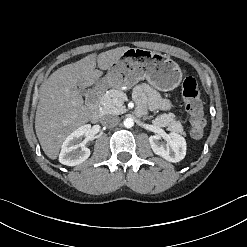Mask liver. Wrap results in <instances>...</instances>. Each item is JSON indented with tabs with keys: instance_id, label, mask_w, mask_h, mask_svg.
I'll use <instances>...</instances> for the list:
<instances>
[{
	"instance_id": "1",
	"label": "liver",
	"mask_w": 247,
	"mask_h": 247,
	"mask_svg": "<svg viewBox=\"0 0 247 247\" xmlns=\"http://www.w3.org/2000/svg\"><path fill=\"white\" fill-rule=\"evenodd\" d=\"M128 46L118 47L65 65L40 87V99L35 116V130L44 153L50 159L58 157L66 137L78 127L89 122L93 112L83 103L78 88L92 86L119 59ZM96 64L100 70L95 69Z\"/></svg>"
}]
</instances>
